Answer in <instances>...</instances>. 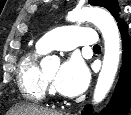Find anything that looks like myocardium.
<instances>
[{
    "mask_svg": "<svg viewBox=\"0 0 131 115\" xmlns=\"http://www.w3.org/2000/svg\"><path fill=\"white\" fill-rule=\"evenodd\" d=\"M43 81H44V87H45V91L50 95L53 96V92L51 91L50 88V80L46 77V75L43 74Z\"/></svg>",
    "mask_w": 131,
    "mask_h": 115,
    "instance_id": "myocardium-1",
    "label": "myocardium"
}]
</instances>
